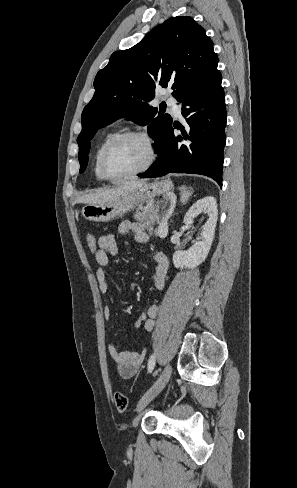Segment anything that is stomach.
<instances>
[{
	"instance_id": "obj_1",
	"label": "stomach",
	"mask_w": 297,
	"mask_h": 488,
	"mask_svg": "<svg viewBox=\"0 0 297 488\" xmlns=\"http://www.w3.org/2000/svg\"><path fill=\"white\" fill-rule=\"evenodd\" d=\"M173 190L170 179L154 181L135 190L125 192L116 200L101 204H85L82 216L94 222H109L124 216L126 212L135 208L141 202L154 201L159 197H166Z\"/></svg>"
}]
</instances>
